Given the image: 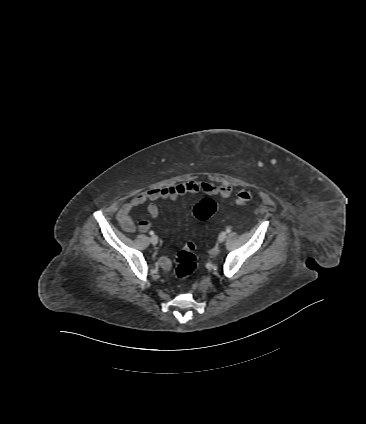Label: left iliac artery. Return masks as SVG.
I'll return each instance as SVG.
<instances>
[{
	"label": "left iliac artery",
	"mask_w": 366,
	"mask_h": 424,
	"mask_svg": "<svg viewBox=\"0 0 366 424\" xmlns=\"http://www.w3.org/2000/svg\"><path fill=\"white\" fill-rule=\"evenodd\" d=\"M226 232H227V233H230V232H231V229H230V228H227V229H226Z\"/></svg>",
	"instance_id": "44dca946"
}]
</instances>
